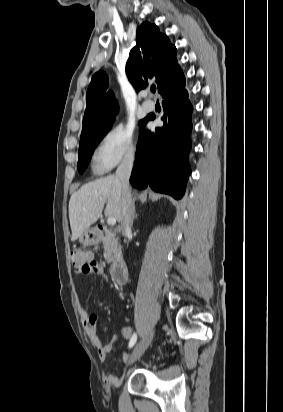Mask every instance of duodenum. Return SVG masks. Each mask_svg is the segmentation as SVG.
I'll use <instances>...</instances> for the list:
<instances>
[{
  "label": "duodenum",
  "mask_w": 283,
  "mask_h": 412,
  "mask_svg": "<svg viewBox=\"0 0 283 412\" xmlns=\"http://www.w3.org/2000/svg\"><path fill=\"white\" fill-rule=\"evenodd\" d=\"M95 238L98 241H102L104 239H115L116 233L105 227L99 226L96 228ZM110 273L117 284L125 285L127 283L128 271L127 266L123 260L117 259L113 263Z\"/></svg>",
  "instance_id": "obj_1"
}]
</instances>
